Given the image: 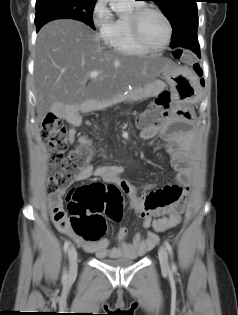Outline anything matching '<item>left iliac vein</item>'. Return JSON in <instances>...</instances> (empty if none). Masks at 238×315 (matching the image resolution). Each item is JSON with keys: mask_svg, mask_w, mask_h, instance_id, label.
Listing matches in <instances>:
<instances>
[{"mask_svg": "<svg viewBox=\"0 0 238 315\" xmlns=\"http://www.w3.org/2000/svg\"><path fill=\"white\" fill-rule=\"evenodd\" d=\"M159 261L162 270L164 272H168L169 271L168 253L164 247H160L159 249Z\"/></svg>", "mask_w": 238, "mask_h": 315, "instance_id": "1", "label": "left iliac vein"}]
</instances>
